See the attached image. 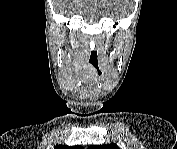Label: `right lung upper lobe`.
<instances>
[{
  "mask_svg": "<svg viewBox=\"0 0 177 149\" xmlns=\"http://www.w3.org/2000/svg\"><path fill=\"white\" fill-rule=\"evenodd\" d=\"M56 149H64V148H69L68 146H63V145H58L55 147ZM70 148H82L81 146H74V147H70Z\"/></svg>",
  "mask_w": 177,
  "mask_h": 149,
  "instance_id": "right-lung-upper-lobe-1",
  "label": "right lung upper lobe"
}]
</instances>
